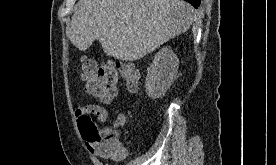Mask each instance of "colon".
<instances>
[{"instance_id": "obj_1", "label": "colon", "mask_w": 276, "mask_h": 165, "mask_svg": "<svg viewBox=\"0 0 276 165\" xmlns=\"http://www.w3.org/2000/svg\"><path fill=\"white\" fill-rule=\"evenodd\" d=\"M119 78L125 81L128 89L135 90L139 82V73L131 64L125 62L105 61L98 65L89 58L82 61L81 79L85 90L102 102H111L116 97ZM78 124L88 146L103 144L111 152H121L114 133L103 130L90 116L81 117Z\"/></svg>"}]
</instances>
